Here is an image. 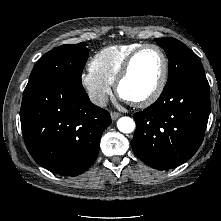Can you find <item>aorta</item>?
Wrapping results in <instances>:
<instances>
[{
    "label": "aorta",
    "instance_id": "762f6f07",
    "mask_svg": "<svg viewBox=\"0 0 221 221\" xmlns=\"http://www.w3.org/2000/svg\"><path fill=\"white\" fill-rule=\"evenodd\" d=\"M117 128L120 132L128 134L135 130V122L130 117H121L117 121Z\"/></svg>",
    "mask_w": 221,
    "mask_h": 221
}]
</instances>
